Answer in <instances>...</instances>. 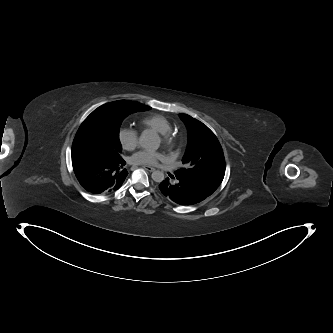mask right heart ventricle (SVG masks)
<instances>
[{
	"label": "right heart ventricle",
	"mask_w": 333,
	"mask_h": 333,
	"mask_svg": "<svg viewBox=\"0 0 333 333\" xmlns=\"http://www.w3.org/2000/svg\"><path fill=\"white\" fill-rule=\"evenodd\" d=\"M140 128H150L159 133L169 132L171 130L170 122L162 115H148L140 119Z\"/></svg>",
	"instance_id": "e07e8e85"
}]
</instances>
